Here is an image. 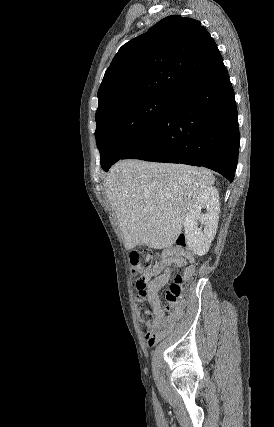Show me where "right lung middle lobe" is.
Segmentation results:
<instances>
[{
	"label": "right lung middle lobe",
	"mask_w": 274,
	"mask_h": 427,
	"mask_svg": "<svg viewBox=\"0 0 274 427\" xmlns=\"http://www.w3.org/2000/svg\"><path fill=\"white\" fill-rule=\"evenodd\" d=\"M175 96L151 94L113 104L96 116L95 138L102 168H110L161 120Z\"/></svg>",
	"instance_id": "dd1d6c3e"
}]
</instances>
